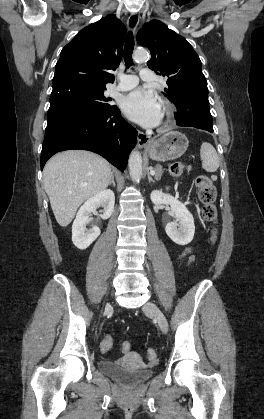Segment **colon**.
Wrapping results in <instances>:
<instances>
[{
    "label": "colon",
    "instance_id": "colon-1",
    "mask_svg": "<svg viewBox=\"0 0 264 419\" xmlns=\"http://www.w3.org/2000/svg\"><path fill=\"white\" fill-rule=\"evenodd\" d=\"M188 167L181 162H174L168 166V173L171 176L177 177L180 176ZM196 186L198 189V196L203 205L202 208V215L203 218L212 224H216L217 222V209L215 206L216 200V189L212 182V180L207 176H199L196 179ZM216 228L212 229V239L215 240L216 238ZM113 346V339L110 335H105L101 342V348L103 351H109ZM123 350L127 351L130 350V344L126 342L123 345ZM156 351L153 348H149L147 350V358L150 361L156 359Z\"/></svg>",
    "mask_w": 264,
    "mask_h": 419
}]
</instances>
